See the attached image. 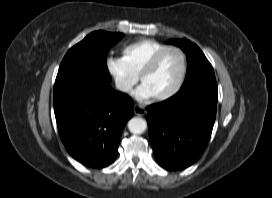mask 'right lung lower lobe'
Instances as JSON below:
<instances>
[{
    "label": "right lung lower lobe",
    "mask_w": 272,
    "mask_h": 198,
    "mask_svg": "<svg viewBox=\"0 0 272 198\" xmlns=\"http://www.w3.org/2000/svg\"><path fill=\"white\" fill-rule=\"evenodd\" d=\"M61 140L69 154L93 168L117 157L125 123L133 116V101L110 85L81 81L53 94Z\"/></svg>",
    "instance_id": "right-lung-lower-lobe-1"
}]
</instances>
